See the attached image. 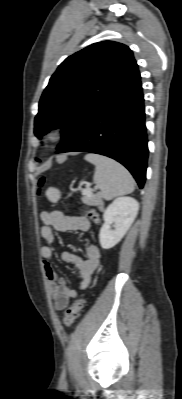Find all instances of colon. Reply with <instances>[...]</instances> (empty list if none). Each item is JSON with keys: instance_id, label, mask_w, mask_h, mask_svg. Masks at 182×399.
Returning a JSON list of instances; mask_svg holds the SVG:
<instances>
[{"instance_id": "5ec220e1", "label": "colon", "mask_w": 182, "mask_h": 399, "mask_svg": "<svg viewBox=\"0 0 182 399\" xmlns=\"http://www.w3.org/2000/svg\"><path fill=\"white\" fill-rule=\"evenodd\" d=\"M45 182V178L41 179V185ZM82 212L85 213L91 220L95 222H99V216L92 210L87 208H83ZM85 304V298L79 297L66 311L63 317V323L66 326H71L76 319L79 317L81 310L83 309Z\"/></svg>"}]
</instances>
